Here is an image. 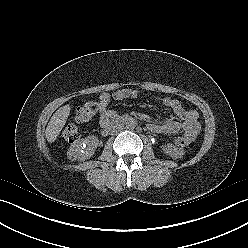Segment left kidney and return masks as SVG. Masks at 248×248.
Segmentation results:
<instances>
[{
	"instance_id": "left-kidney-1",
	"label": "left kidney",
	"mask_w": 248,
	"mask_h": 248,
	"mask_svg": "<svg viewBox=\"0 0 248 248\" xmlns=\"http://www.w3.org/2000/svg\"><path fill=\"white\" fill-rule=\"evenodd\" d=\"M162 150L166 155H169L173 158L182 157L185 153L183 149L175 147L172 144L163 145Z\"/></svg>"
}]
</instances>
